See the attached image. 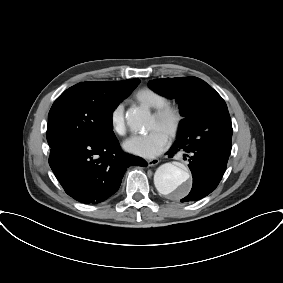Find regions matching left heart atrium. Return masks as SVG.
Here are the masks:
<instances>
[{"label":"left heart atrium","mask_w":283,"mask_h":283,"mask_svg":"<svg viewBox=\"0 0 283 283\" xmlns=\"http://www.w3.org/2000/svg\"><path fill=\"white\" fill-rule=\"evenodd\" d=\"M168 142L167 134L154 128L147 134L134 135L124 142V149L136 156L153 158L157 156Z\"/></svg>","instance_id":"1"}]
</instances>
